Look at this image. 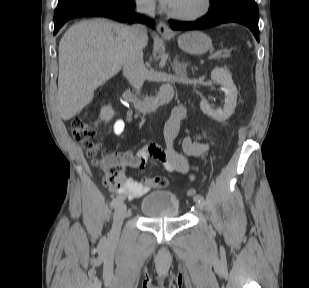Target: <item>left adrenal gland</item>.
<instances>
[{"mask_svg": "<svg viewBox=\"0 0 309 288\" xmlns=\"http://www.w3.org/2000/svg\"><path fill=\"white\" fill-rule=\"evenodd\" d=\"M189 63H180L178 61V58L176 57L174 59V63H173V70L175 72V75L178 77H185L186 73H187V67H188Z\"/></svg>", "mask_w": 309, "mask_h": 288, "instance_id": "obj_1", "label": "left adrenal gland"}]
</instances>
